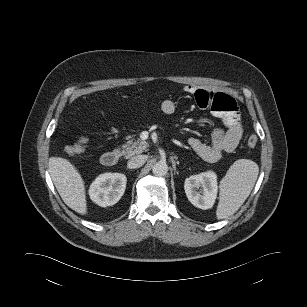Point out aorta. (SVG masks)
<instances>
[{"label":"aorta","mask_w":307,"mask_h":307,"mask_svg":"<svg viewBox=\"0 0 307 307\" xmlns=\"http://www.w3.org/2000/svg\"><path fill=\"white\" fill-rule=\"evenodd\" d=\"M152 172L155 176H165L168 172V165L166 162L159 161L156 164H154L152 168Z\"/></svg>","instance_id":"aorta-1"}]
</instances>
